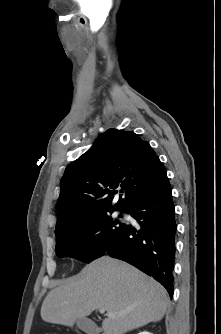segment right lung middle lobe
I'll use <instances>...</instances> for the list:
<instances>
[{"label":"right lung middle lobe","instance_id":"right-lung-middle-lobe-1","mask_svg":"<svg viewBox=\"0 0 221 334\" xmlns=\"http://www.w3.org/2000/svg\"><path fill=\"white\" fill-rule=\"evenodd\" d=\"M126 224L113 221L107 214L75 224L56 238L58 257L70 256L90 263L103 256L120 237Z\"/></svg>","mask_w":221,"mask_h":334}]
</instances>
